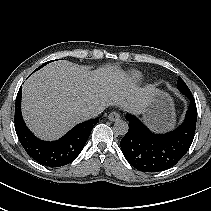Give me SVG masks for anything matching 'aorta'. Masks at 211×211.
Instances as JSON below:
<instances>
[{
  "instance_id": "762f6f07",
  "label": "aorta",
  "mask_w": 211,
  "mask_h": 211,
  "mask_svg": "<svg viewBox=\"0 0 211 211\" xmlns=\"http://www.w3.org/2000/svg\"><path fill=\"white\" fill-rule=\"evenodd\" d=\"M128 129V123L123 120L116 121L113 127V130L117 135H125L128 132Z\"/></svg>"
}]
</instances>
